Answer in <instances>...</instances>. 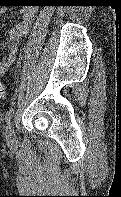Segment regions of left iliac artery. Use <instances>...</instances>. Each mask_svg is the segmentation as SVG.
Here are the masks:
<instances>
[{
    "label": "left iliac artery",
    "instance_id": "1",
    "mask_svg": "<svg viewBox=\"0 0 121 197\" xmlns=\"http://www.w3.org/2000/svg\"><path fill=\"white\" fill-rule=\"evenodd\" d=\"M14 105L13 107H11L7 112H6V115H5V120L6 122H10V120L12 119L13 115H14Z\"/></svg>",
    "mask_w": 121,
    "mask_h": 197
}]
</instances>
